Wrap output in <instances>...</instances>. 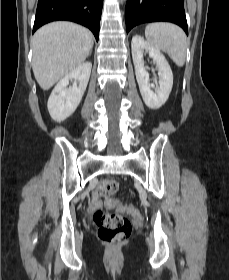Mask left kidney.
<instances>
[{
  "instance_id": "obj_1",
  "label": "left kidney",
  "mask_w": 229,
  "mask_h": 280,
  "mask_svg": "<svg viewBox=\"0 0 229 280\" xmlns=\"http://www.w3.org/2000/svg\"><path fill=\"white\" fill-rule=\"evenodd\" d=\"M132 59L136 79L144 103L151 109H159L168 99L173 86V73L165 56L151 47L140 35H135L131 42ZM148 53L158 69L159 86L150 84L149 73L146 71L143 54ZM151 87L155 91L151 90Z\"/></svg>"
}]
</instances>
